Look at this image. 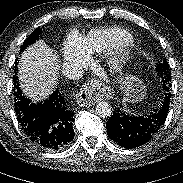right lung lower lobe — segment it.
I'll list each match as a JSON object with an SVG mask.
<instances>
[{
    "instance_id": "obj_1",
    "label": "right lung lower lobe",
    "mask_w": 183,
    "mask_h": 183,
    "mask_svg": "<svg viewBox=\"0 0 183 183\" xmlns=\"http://www.w3.org/2000/svg\"><path fill=\"white\" fill-rule=\"evenodd\" d=\"M14 107L18 122L27 138L40 148H65L74 138L73 116L59 90L43 103H31L14 76Z\"/></svg>"
}]
</instances>
